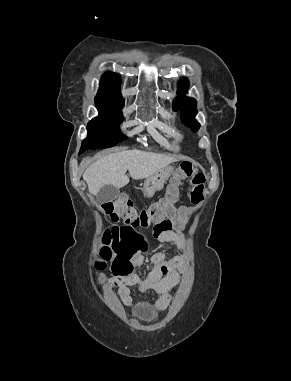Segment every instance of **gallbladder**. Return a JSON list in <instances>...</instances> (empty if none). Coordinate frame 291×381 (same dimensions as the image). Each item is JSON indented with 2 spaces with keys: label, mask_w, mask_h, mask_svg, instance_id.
I'll list each match as a JSON object with an SVG mask.
<instances>
[{
  "label": "gallbladder",
  "mask_w": 291,
  "mask_h": 381,
  "mask_svg": "<svg viewBox=\"0 0 291 381\" xmlns=\"http://www.w3.org/2000/svg\"><path fill=\"white\" fill-rule=\"evenodd\" d=\"M119 193V188L113 185H105L99 190L97 194V201L99 204H106L115 200L119 196Z\"/></svg>",
  "instance_id": "1"
}]
</instances>
